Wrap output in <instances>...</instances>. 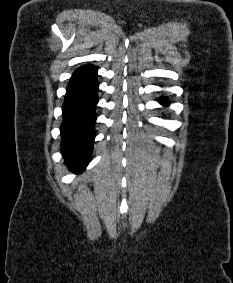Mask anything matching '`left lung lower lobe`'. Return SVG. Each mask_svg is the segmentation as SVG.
<instances>
[{
	"label": "left lung lower lobe",
	"instance_id": "left-lung-lower-lobe-1",
	"mask_svg": "<svg viewBox=\"0 0 233 283\" xmlns=\"http://www.w3.org/2000/svg\"><path fill=\"white\" fill-rule=\"evenodd\" d=\"M159 102H160L162 105H164V106L169 104L168 100H167V99H164V98H163V99H160Z\"/></svg>",
	"mask_w": 233,
	"mask_h": 283
}]
</instances>
